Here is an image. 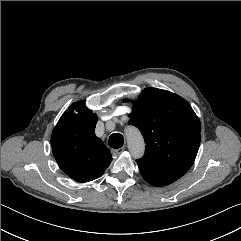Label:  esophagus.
Listing matches in <instances>:
<instances>
[{
	"label": "esophagus",
	"instance_id": "esophagus-1",
	"mask_svg": "<svg viewBox=\"0 0 241 241\" xmlns=\"http://www.w3.org/2000/svg\"><path fill=\"white\" fill-rule=\"evenodd\" d=\"M124 149H125V147H121V148H119V149H112L111 152H112V154H113L114 156H117V155H119L121 152H123Z\"/></svg>",
	"mask_w": 241,
	"mask_h": 241
}]
</instances>
